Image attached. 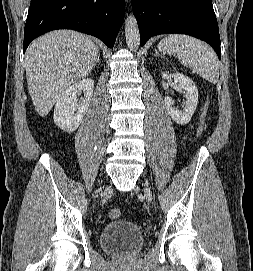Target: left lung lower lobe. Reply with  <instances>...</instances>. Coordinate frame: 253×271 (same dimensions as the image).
I'll list each match as a JSON object with an SVG mask.
<instances>
[{"label": "left lung lower lobe", "instance_id": "obj_1", "mask_svg": "<svg viewBox=\"0 0 253 271\" xmlns=\"http://www.w3.org/2000/svg\"><path fill=\"white\" fill-rule=\"evenodd\" d=\"M140 45L155 35L187 34L209 43L221 58L220 36L212 0H132Z\"/></svg>", "mask_w": 253, "mask_h": 271}]
</instances>
